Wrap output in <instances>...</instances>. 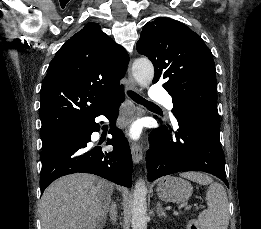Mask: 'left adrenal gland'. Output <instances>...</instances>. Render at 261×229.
<instances>
[{"instance_id":"a2214340","label":"left adrenal gland","mask_w":261,"mask_h":229,"mask_svg":"<svg viewBox=\"0 0 261 229\" xmlns=\"http://www.w3.org/2000/svg\"><path fill=\"white\" fill-rule=\"evenodd\" d=\"M156 207L158 217H166V213H164V209H162L161 203H157Z\"/></svg>"}]
</instances>
